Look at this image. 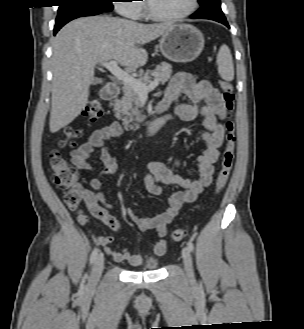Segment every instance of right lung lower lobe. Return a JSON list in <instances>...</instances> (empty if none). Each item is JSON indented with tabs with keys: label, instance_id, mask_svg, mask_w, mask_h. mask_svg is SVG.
Wrapping results in <instances>:
<instances>
[{
	"label": "right lung lower lobe",
	"instance_id": "1",
	"mask_svg": "<svg viewBox=\"0 0 304 329\" xmlns=\"http://www.w3.org/2000/svg\"><path fill=\"white\" fill-rule=\"evenodd\" d=\"M102 12H95V11H91V12H82V13H78V14H75V15H72L58 23L55 24L54 26V35L60 30V28L62 26H64L66 23H68L69 21L73 20V19H76L78 17H84V16H93V15H97V14H100Z\"/></svg>",
	"mask_w": 304,
	"mask_h": 329
}]
</instances>
